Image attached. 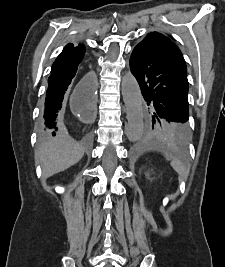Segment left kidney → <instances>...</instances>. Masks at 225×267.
I'll use <instances>...</instances> for the list:
<instances>
[{
	"instance_id": "left-kidney-1",
	"label": "left kidney",
	"mask_w": 225,
	"mask_h": 267,
	"mask_svg": "<svg viewBox=\"0 0 225 267\" xmlns=\"http://www.w3.org/2000/svg\"><path fill=\"white\" fill-rule=\"evenodd\" d=\"M146 176H148V177H149V173H147V174H146Z\"/></svg>"
}]
</instances>
